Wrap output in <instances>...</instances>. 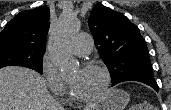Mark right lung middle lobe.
<instances>
[{"label": "right lung middle lobe", "instance_id": "obj_1", "mask_svg": "<svg viewBox=\"0 0 171 110\" xmlns=\"http://www.w3.org/2000/svg\"><path fill=\"white\" fill-rule=\"evenodd\" d=\"M44 52L10 42L0 43V68L18 65L29 67L42 73Z\"/></svg>", "mask_w": 171, "mask_h": 110}]
</instances>
